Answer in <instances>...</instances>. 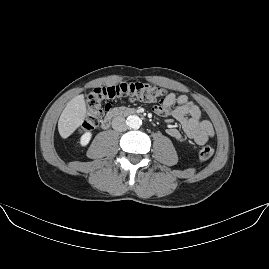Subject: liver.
<instances>
[{
  "label": "liver",
  "instance_id": "obj_1",
  "mask_svg": "<svg viewBox=\"0 0 269 269\" xmlns=\"http://www.w3.org/2000/svg\"><path fill=\"white\" fill-rule=\"evenodd\" d=\"M85 103L83 95L75 96L68 102L58 120L59 133L63 138L68 137L83 121Z\"/></svg>",
  "mask_w": 269,
  "mask_h": 269
}]
</instances>
